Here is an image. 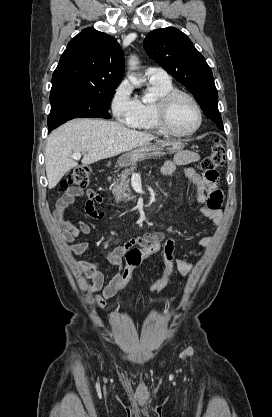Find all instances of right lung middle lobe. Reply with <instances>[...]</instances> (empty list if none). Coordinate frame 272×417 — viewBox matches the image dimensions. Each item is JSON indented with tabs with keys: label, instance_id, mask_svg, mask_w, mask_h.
I'll return each instance as SVG.
<instances>
[{
	"label": "right lung middle lobe",
	"instance_id": "1",
	"mask_svg": "<svg viewBox=\"0 0 272 417\" xmlns=\"http://www.w3.org/2000/svg\"><path fill=\"white\" fill-rule=\"evenodd\" d=\"M116 88L106 91H66L50 94L48 132L73 118L109 119L108 109Z\"/></svg>",
	"mask_w": 272,
	"mask_h": 417
}]
</instances>
